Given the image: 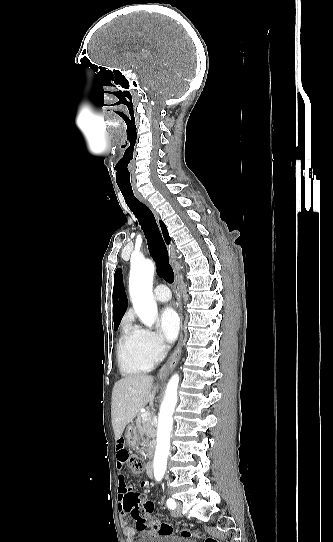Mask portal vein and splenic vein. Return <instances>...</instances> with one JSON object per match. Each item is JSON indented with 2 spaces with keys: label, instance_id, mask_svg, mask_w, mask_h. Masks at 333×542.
<instances>
[{
  "label": "portal vein and splenic vein",
  "instance_id": "1",
  "mask_svg": "<svg viewBox=\"0 0 333 542\" xmlns=\"http://www.w3.org/2000/svg\"><path fill=\"white\" fill-rule=\"evenodd\" d=\"M142 418L143 420H150V412H144V414H142Z\"/></svg>",
  "mask_w": 333,
  "mask_h": 542
}]
</instances>
